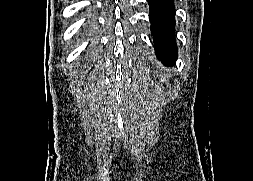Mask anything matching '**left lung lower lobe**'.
Instances as JSON below:
<instances>
[{
    "mask_svg": "<svg viewBox=\"0 0 253 181\" xmlns=\"http://www.w3.org/2000/svg\"><path fill=\"white\" fill-rule=\"evenodd\" d=\"M150 7L149 20L156 55L168 66L176 61L177 47L174 39L175 12L173 0H147Z\"/></svg>",
    "mask_w": 253,
    "mask_h": 181,
    "instance_id": "obj_1",
    "label": "left lung lower lobe"
}]
</instances>
